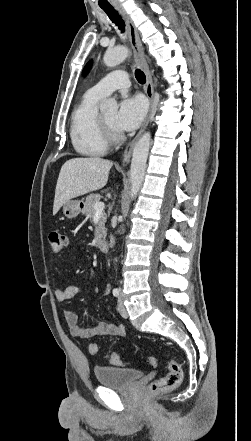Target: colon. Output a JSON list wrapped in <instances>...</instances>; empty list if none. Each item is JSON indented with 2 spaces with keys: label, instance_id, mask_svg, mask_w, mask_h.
<instances>
[{
  "label": "colon",
  "instance_id": "1",
  "mask_svg": "<svg viewBox=\"0 0 251 441\" xmlns=\"http://www.w3.org/2000/svg\"><path fill=\"white\" fill-rule=\"evenodd\" d=\"M48 242L53 252L59 253L64 250L67 245V236L59 230H52L48 235ZM89 352L92 355L98 353V345L96 343H91L89 345ZM107 360L116 366H122L125 363L116 353H109L106 356ZM148 363L150 366L154 367L156 365V359L154 357L148 358ZM168 373L153 381L149 387L148 391L151 394L163 393L173 390L179 386L183 380V370L181 365L173 360L169 359L167 362Z\"/></svg>",
  "mask_w": 251,
  "mask_h": 441
}]
</instances>
